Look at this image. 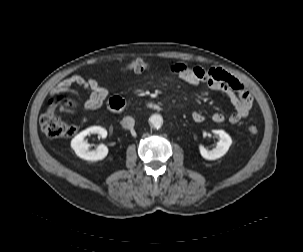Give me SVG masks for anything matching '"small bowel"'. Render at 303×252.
<instances>
[{"mask_svg": "<svg viewBox=\"0 0 303 252\" xmlns=\"http://www.w3.org/2000/svg\"><path fill=\"white\" fill-rule=\"evenodd\" d=\"M169 70L190 85L204 86L212 91L222 92L229 96L235 108V111L229 116L230 123L239 122L250 112L252 96L248 89L233 76L225 72L206 70L200 66L186 63H173L169 66ZM73 85L82 86L89 92L88 99L81 104L84 110H97L107 103L108 89L101 86L96 79L88 75H72L62 80L57 85L56 90L70 93L81 99L77 92L70 89ZM118 98L113 97L110 99L108 101L109 105H114ZM60 110L69 115L77 113L76 110L64 107H61ZM191 117L196 123H201L205 120V116L199 111H194ZM211 119L215 123H222L225 120V115L221 112H215L212 114Z\"/></svg>", "mask_w": 303, "mask_h": 252, "instance_id": "obj_1", "label": "small bowel"}]
</instances>
